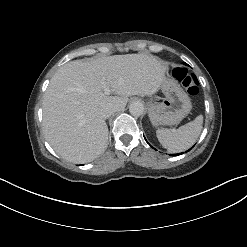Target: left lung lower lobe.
Instances as JSON below:
<instances>
[{"instance_id": "0a47b994", "label": "left lung lower lobe", "mask_w": 247, "mask_h": 247, "mask_svg": "<svg viewBox=\"0 0 247 247\" xmlns=\"http://www.w3.org/2000/svg\"><path fill=\"white\" fill-rule=\"evenodd\" d=\"M181 154H182V153H181ZM170 155H171V156H174V155L176 156V155H180V154H170Z\"/></svg>"}]
</instances>
